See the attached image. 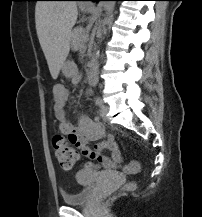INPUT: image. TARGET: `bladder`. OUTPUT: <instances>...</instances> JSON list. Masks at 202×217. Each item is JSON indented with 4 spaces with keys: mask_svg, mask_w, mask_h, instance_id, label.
<instances>
[{
    "mask_svg": "<svg viewBox=\"0 0 202 217\" xmlns=\"http://www.w3.org/2000/svg\"><path fill=\"white\" fill-rule=\"evenodd\" d=\"M115 177L113 172H95L90 170H80L76 174V181L80 186L76 193L62 194V201L67 205H83L90 202L95 194L96 183L101 178Z\"/></svg>",
    "mask_w": 202,
    "mask_h": 217,
    "instance_id": "31cf9c89",
    "label": "bladder"
}]
</instances>
